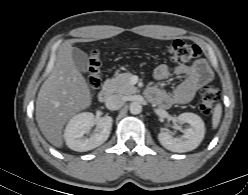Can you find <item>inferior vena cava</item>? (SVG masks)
<instances>
[{
  "mask_svg": "<svg viewBox=\"0 0 248 195\" xmlns=\"http://www.w3.org/2000/svg\"><path fill=\"white\" fill-rule=\"evenodd\" d=\"M124 104V97L120 94H114L107 98L105 105L109 110H118Z\"/></svg>",
  "mask_w": 248,
  "mask_h": 195,
  "instance_id": "1",
  "label": "inferior vena cava"
}]
</instances>
